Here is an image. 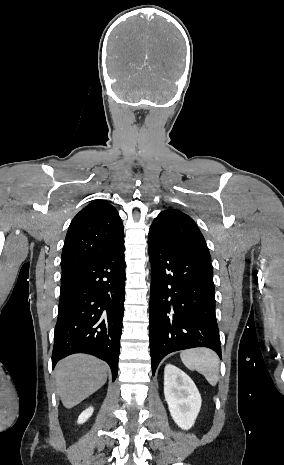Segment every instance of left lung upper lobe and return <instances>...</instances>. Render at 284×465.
Returning <instances> with one entry per match:
<instances>
[{
    "label": "left lung upper lobe",
    "instance_id": "obj_1",
    "mask_svg": "<svg viewBox=\"0 0 284 465\" xmlns=\"http://www.w3.org/2000/svg\"><path fill=\"white\" fill-rule=\"evenodd\" d=\"M149 235L171 248L211 260L205 239L196 223L179 210L162 211L153 221Z\"/></svg>",
    "mask_w": 284,
    "mask_h": 465
}]
</instances>
